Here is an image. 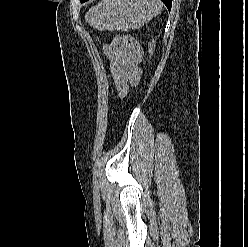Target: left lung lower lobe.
Segmentation results:
<instances>
[{"mask_svg": "<svg viewBox=\"0 0 248 247\" xmlns=\"http://www.w3.org/2000/svg\"><path fill=\"white\" fill-rule=\"evenodd\" d=\"M82 3L86 2L87 0H80ZM163 3L167 6V8L170 10L171 9V5H172V0H162Z\"/></svg>", "mask_w": 248, "mask_h": 247, "instance_id": "0a47b994", "label": "left lung lower lobe"}]
</instances>
